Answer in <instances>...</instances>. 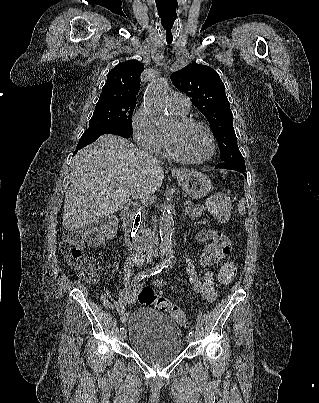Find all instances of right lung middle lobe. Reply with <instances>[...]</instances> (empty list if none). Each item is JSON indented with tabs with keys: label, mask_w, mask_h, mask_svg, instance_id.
<instances>
[{
	"label": "right lung middle lobe",
	"mask_w": 319,
	"mask_h": 403,
	"mask_svg": "<svg viewBox=\"0 0 319 403\" xmlns=\"http://www.w3.org/2000/svg\"><path fill=\"white\" fill-rule=\"evenodd\" d=\"M136 105L123 103H97L89 128L119 127L132 133V114Z\"/></svg>",
	"instance_id": "dd1d6c3e"
}]
</instances>
